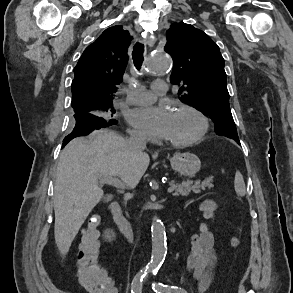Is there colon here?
Returning a JSON list of instances; mask_svg holds the SVG:
<instances>
[{
	"mask_svg": "<svg viewBox=\"0 0 293 293\" xmlns=\"http://www.w3.org/2000/svg\"><path fill=\"white\" fill-rule=\"evenodd\" d=\"M99 216L91 214L82 232V241L77 256L78 279L88 293H114V288L105 269L101 266L97 226ZM232 245L236 239H232Z\"/></svg>",
	"mask_w": 293,
	"mask_h": 293,
	"instance_id": "colon-1",
	"label": "colon"
}]
</instances>
